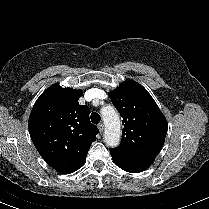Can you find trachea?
<instances>
[{"label":"trachea","instance_id":"trachea-1","mask_svg":"<svg viewBox=\"0 0 209 209\" xmlns=\"http://www.w3.org/2000/svg\"><path fill=\"white\" fill-rule=\"evenodd\" d=\"M90 117H91L92 123H94V124H98L101 120L100 115L96 112H93Z\"/></svg>","mask_w":209,"mask_h":209}]
</instances>
